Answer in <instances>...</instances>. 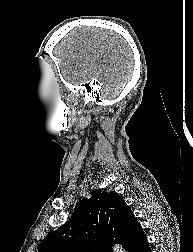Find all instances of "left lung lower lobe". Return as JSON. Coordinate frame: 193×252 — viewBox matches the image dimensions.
<instances>
[{
	"mask_svg": "<svg viewBox=\"0 0 193 252\" xmlns=\"http://www.w3.org/2000/svg\"><path fill=\"white\" fill-rule=\"evenodd\" d=\"M126 250L129 252H151L149 243L140 224L134 229Z\"/></svg>",
	"mask_w": 193,
	"mask_h": 252,
	"instance_id": "obj_1",
	"label": "left lung lower lobe"
}]
</instances>
